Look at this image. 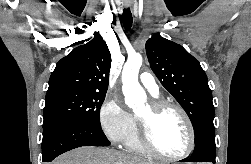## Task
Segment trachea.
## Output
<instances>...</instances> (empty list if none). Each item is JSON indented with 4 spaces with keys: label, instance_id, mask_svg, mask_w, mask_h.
<instances>
[{
    "label": "trachea",
    "instance_id": "trachea-1",
    "mask_svg": "<svg viewBox=\"0 0 251 164\" xmlns=\"http://www.w3.org/2000/svg\"><path fill=\"white\" fill-rule=\"evenodd\" d=\"M122 21H123L124 28L127 31H129L131 29L132 22H133L132 13L130 11V8H125L123 10Z\"/></svg>",
    "mask_w": 251,
    "mask_h": 164
}]
</instances>
